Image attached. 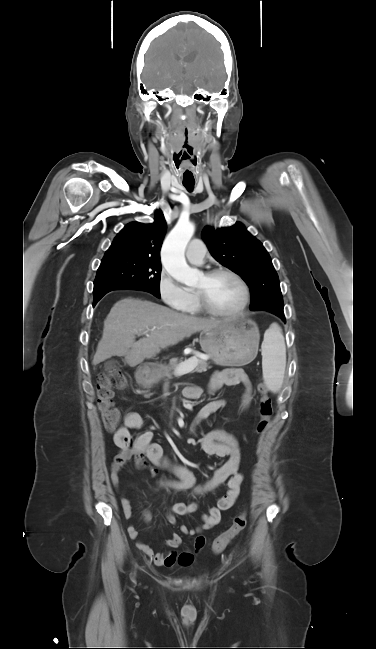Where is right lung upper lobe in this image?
I'll return each instance as SVG.
<instances>
[{"label":"right lung upper lobe","mask_w":376,"mask_h":649,"mask_svg":"<svg viewBox=\"0 0 376 649\" xmlns=\"http://www.w3.org/2000/svg\"><path fill=\"white\" fill-rule=\"evenodd\" d=\"M166 231L162 211H156L154 223L131 222L114 238L105 255L137 254L160 259V249Z\"/></svg>","instance_id":"cb5924a9"}]
</instances>
